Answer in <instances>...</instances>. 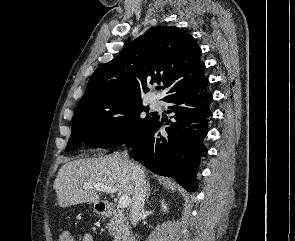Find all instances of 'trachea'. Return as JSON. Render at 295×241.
I'll list each match as a JSON object with an SVG mask.
<instances>
[{
  "mask_svg": "<svg viewBox=\"0 0 295 241\" xmlns=\"http://www.w3.org/2000/svg\"><path fill=\"white\" fill-rule=\"evenodd\" d=\"M157 89H158V90H160V89H161V87H158Z\"/></svg>",
  "mask_w": 295,
  "mask_h": 241,
  "instance_id": "3493384b",
  "label": "trachea"
}]
</instances>
